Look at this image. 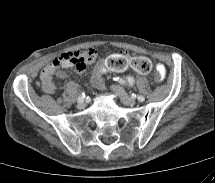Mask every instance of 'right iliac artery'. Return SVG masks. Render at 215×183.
<instances>
[{
  "label": "right iliac artery",
  "mask_w": 215,
  "mask_h": 183,
  "mask_svg": "<svg viewBox=\"0 0 215 183\" xmlns=\"http://www.w3.org/2000/svg\"><path fill=\"white\" fill-rule=\"evenodd\" d=\"M85 94L84 92L80 94V96L78 97V102H81L84 100Z\"/></svg>",
  "instance_id": "1"
}]
</instances>
